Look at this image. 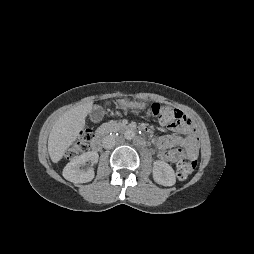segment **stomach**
Here are the masks:
<instances>
[{
	"label": "stomach",
	"mask_w": 254,
	"mask_h": 254,
	"mask_svg": "<svg viewBox=\"0 0 254 254\" xmlns=\"http://www.w3.org/2000/svg\"><path fill=\"white\" fill-rule=\"evenodd\" d=\"M118 105L122 106V107H132V108H139V109H144L145 108V104L141 103V102H132V101H128V100H119Z\"/></svg>",
	"instance_id": "1"
}]
</instances>
